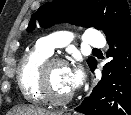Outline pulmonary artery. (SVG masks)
Wrapping results in <instances>:
<instances>
[{
    "instance_id": "1",
    "label": "pulmonary artery",
    "mask_w": 131,
    "mask_h": 115,
    "mask_svg": "<svg viewBox=\"0 0 131 115\" xmlns=\"http://www.w3.org/2000/svg\"><path fill=\"white\" fill-rule=\"evenodd\" d=\"M69 39L70 36L68 33L58 32L40 39L38 46L48 54H52L54 48L65 45L68 43ZM83 42L85 45L91 47H103L105 45L103 35L95 29H88L85 31Z\"/></svg>"
}]
</instances>
